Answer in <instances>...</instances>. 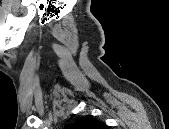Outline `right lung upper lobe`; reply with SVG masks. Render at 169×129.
Masks as SVG:
<instances>
[{"instance_id": "right-lung-upper-lobe-1", "label": "right lung upper lobe", "mask_w": 169, "mask_h": 129, "mask_svg": "<svg viewBox=\"0 0 169 129\" xmlns=\"http://www.w3.org/2000/svg\"><path fill=\"white\" fill-rule=\"evenodd\" d=\"M66 129H105L106 126L90 116L82 117L73 124H67Z\"/></svg>"}]
</instances>
